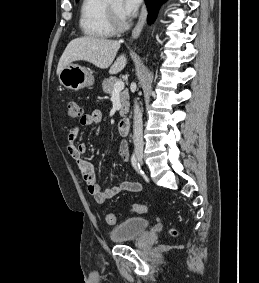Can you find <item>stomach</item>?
<instances>
[{"label":"stomach","instance_id":"0dacf381","mask_svg":"<svg viewBox=\"0 0 259 283\" xmlns=\"http://www.w3.org/2000/svg\"><path fill=\"white\" fill-rule=\"evenodd\" d=\"M59 81L65 88L79 90L94 84V77L90 71L77 64H69L59 73Z\"/></svg>","mask_w":259,"mask_h":283}]
</instances>
